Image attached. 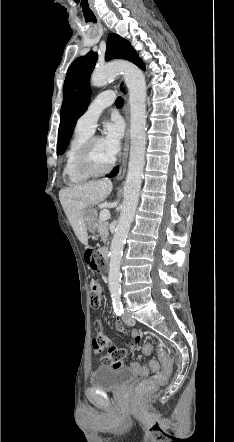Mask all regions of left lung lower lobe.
<instances>
[{
  "instance_id": "0a47b994",
  "label": "left lung lower lobe",
  "mask_w": 234,
  "mask_h": 442,
  "mask_svg": "<svg viewBox=\"0 0 234 442\" xmlns=\"http://www.w3.org/2000/svg\"><path fill=\"white\" fill-rule=\"evenodd\" d=\"M139 67H140L141 69H145V65H144V63H142ZM121 90H123V89H121ZM117 173H118V167H116V168L111 172V174L108 175V177H114V176H116Z\"/></svg>"
}]
</instances>
